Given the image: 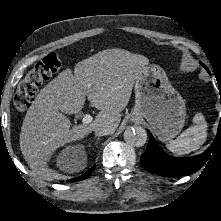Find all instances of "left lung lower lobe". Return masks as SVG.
Segmentation results:
<instances>
[{"label":"left lung lower lobe","instance_id":"1","mask_svg":"<svg viewBox=\"0 0 221 221\" xmlns=\"http://www.w3.org/2000/svg\"><path fill=\"white\" fill-rule=\"evenodd\" d=\"M221 119V118H220ZM149 133V143L146 152L141 156L140 163L143 168L165 177H178L198 171L210 158L216 146H221V120L218 133L211 146L202 154L195 157L175 158L162 151L152 134Z\"/></svg>","mask_w":221,"mask_h":221}]
</instances>
